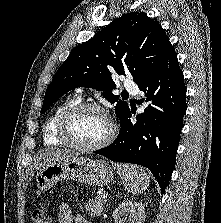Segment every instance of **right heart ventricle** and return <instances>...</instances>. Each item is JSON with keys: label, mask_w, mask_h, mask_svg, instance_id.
Segmentation results:
<instances>
[{"label": "right heart ventricle", "mask_w": 221, "mask_h": 223, "mask_svg": "<svg viewBox=\"0 0 221 223\" xmlns=\"http://www.w3.org/2000/svg\"><path fill=\"white\" fill-rule=\"evenodd\" d=\"M81 102L79 94H73L60 102L52 111L43 128V139L46 145H61L63 142L58 139L56 131L62 113L71 105Z\"/></svg>", "instance_id": "1"}]
</instances>
